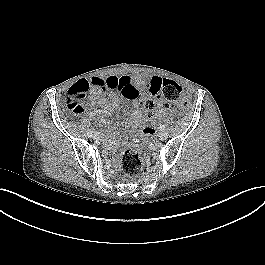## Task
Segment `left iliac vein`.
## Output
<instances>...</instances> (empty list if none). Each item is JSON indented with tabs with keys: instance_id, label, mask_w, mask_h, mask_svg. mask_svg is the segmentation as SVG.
I'll list each match as a JSON object with an SVG mask.
<instances>
[{
	"instance_id": "4c4485c4",
	"label": "left iliac vein",
	"mask_w": 265,
	"mask_h": 265,
	"mask_svg": "<svg viewBox=\"0 0 265 265\" xmlns=\"http://www.w3.org/2000/svg\"><path fill=\"white\" fill-rule=\"evenodd\" d=\"M168 138V133L166 131H161L159 133V139L160 140H166Z\"/></svg>"
}]
</instances>
